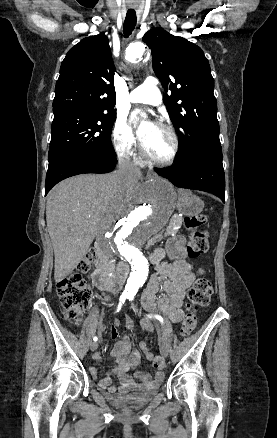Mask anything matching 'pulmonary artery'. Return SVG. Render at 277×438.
<instances>
[{"label": "pulmonary artery", "mask_w": 277, "mask_h": 438, "mask_svg": "<svg viewBox=\"0 0 277 438\" xmlns=\"http://www.w3.org/2000/svg\"><path fill=\"white\" fill-rule=\"evenodd\" d=\"M159 76H147L146 81L142 82V87L132 89L130 100L132 103H142L150 105L161 104L163 94L160 89L163 85L157 83Z\"/></svg>", "instance_id": "1"}]
</instances>
